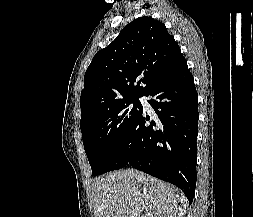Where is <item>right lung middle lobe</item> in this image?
I'll list each match as a JSON object with an SVG mask.
<instances>
[{
	"mask_svg": "<svg viewBox=\"0 0 253 217\" xmlns=\"http://www.w3.org/2000/svg\"><path fill=\"white\" fill-rule=\"evenodd\" d=\"M142 112L139 97L131 98L99 112L80 125L93 176L112 170L119 150Z\"/></svg>",
	"mask_w": 253,
	"mask_h": 217,
	"instance_id": "1",
	"label": "right lung middle lobe"
}]
</instances>
